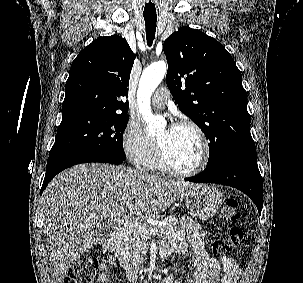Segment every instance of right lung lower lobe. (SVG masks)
Listing matches in <instances>:
<instances>
[{
    "instance_id": "98d812e1",
    "label": "right lung lower lobe",
    "mask_w": 303,
    "mask_h": 283,
    "mask_svg": "<svg viewBox=\"0 0 303 283\" xmlns=\"http://www.w3.org/2000/svg\"><path fill=\"white\" fill-rule=\"evenodd\" d=\"M123 161V159L117 157L96 153H67L49 157L46 165L45 178L41 188V194L54 176L68 167L87 162H102L118 165Z\"/></svg>"
}]
</instances>
